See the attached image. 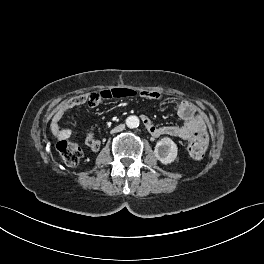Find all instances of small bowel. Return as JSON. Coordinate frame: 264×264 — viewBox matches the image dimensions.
Listing matches in <instances>:
<instances>
[{
	"instance_id": "1",
	"label": "small bowel",
	"mask_w": 264,
	"mask_h": 264,
	"mask_svg": "<svg viewBox=\"0 0 264 264\" xmlns=\"http://www.w3.org/2000/svg\"><path fill=\"white\" fill-rule=\"evenodd\" d=\"M140 96L147 99L160 98L159 93L150 90L141 91ZM86 102H88L91 107H94L98 104L89 103L88 96L82 95L74 97L60 105L51 122L52 130L56 136L60 138L70 137L71 131L69 129H60L59 122L65 113ZM177 114L184 121L182 125L157 126L151 121L149 117L145 115L142 116V121L147 131L156 138L160 136H172L185 140L192 137L196 132L202 129L203 122L198 116L194 114L193 107L189 103L180 102L177 105ZM85 142L86 145L93 151H97L100 148V141L95 138L94 134L91 132L86 136Z\"/></svg>"
}]
</instances>
